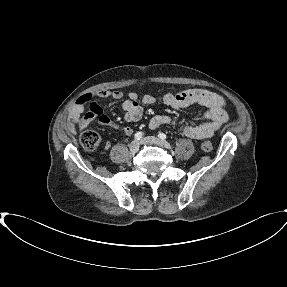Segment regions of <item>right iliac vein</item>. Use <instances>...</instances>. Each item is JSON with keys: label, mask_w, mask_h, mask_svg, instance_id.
<instances>
[{"label": "right iliac vein", "mask_w": 287, "mask_h": 287, "mask_svg": "<svg viewBox=\"0 0 287 287\" xmlns=\"http://www.w3.org/2000/svg\"><path fill=\"white\" fill-rule=\"evenodd\" d=\"M139 147L140 143L137 140H134L129 144V150L132 153H136L139 150Z\"/></svg>", "instance_id": "63e3f726"}]
</instances>
